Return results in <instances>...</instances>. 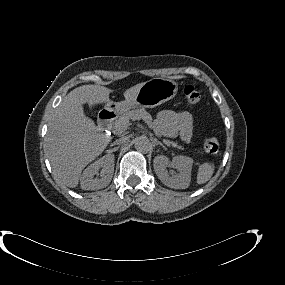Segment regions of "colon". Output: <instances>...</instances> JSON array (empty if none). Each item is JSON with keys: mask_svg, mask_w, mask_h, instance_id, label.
<instances>
[{"mask_svg": "<svg viewBox=\"0 0 285 285\" xmlns=\"http://www.w3.org/2000/svg\"><path fill=\"white\" fill-rule=\"evenodd\" d=\"M184 98L187 104L197 105L202 100L201 92L192 85H188L183 90ZM204 149L207 153L215 154L219 151L220 144L216 137L209 136L203 142Z\"/></svg>", "mask_w": 285, "mask_h": 285, "instance_id": "5ec220e1", "label": "colon"}]
</instances>
